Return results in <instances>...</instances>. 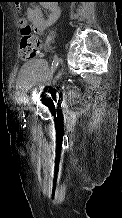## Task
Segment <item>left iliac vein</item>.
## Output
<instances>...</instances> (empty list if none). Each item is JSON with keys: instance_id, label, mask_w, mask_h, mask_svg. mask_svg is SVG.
Wrapping results in <instances>:
<instances>
[{"instance_id": "left-iliac-vein-1", "label": "left iliac vein", "mask_w": 122, "mask_h": 218, "mask_svg": "<svg viewBox=\"0 0 122 218\" xmlns=\"http://www.w3.org/2000/svg\"><path fill=\"white\" fill-rule=\"evenodd\" d=\"M62 73H63V69H60L54 78L53 84L56 83V81L60 78Z\"/></svg>"}]
</instances>
